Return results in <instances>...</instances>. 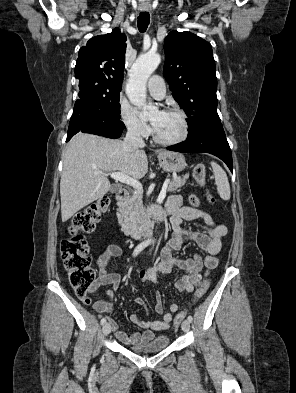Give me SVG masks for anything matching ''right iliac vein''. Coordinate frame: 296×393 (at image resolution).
Instances as JSON below:
<instances>
[{
    "label": "right iliac vein",
    "mask_w": 296,
    "mask_h": 393,
    "mask_svg": "<svg viewBox=\"0 0 296 393\" xmlns=\"http://www.w3.org/2000/svg\"><path fill=\"white\" fill-rule=\"evenodd\" d=\"M111 332V327L109 323L104 324L103 326V334L107 336Z\"/></svg>",
    "instance_id": "obj_1"
}]
</instances>
